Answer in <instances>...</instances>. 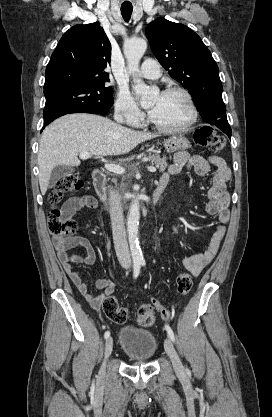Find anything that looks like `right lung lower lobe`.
<instances>
[{
    "label": "right lung lower lobe",
    "mask_w": 272,
    "mask_h": 417,
    "mask_svg": "<svg viewBox=\"0 0 272 417\" xmlns=\"http://www.w3.org/2000/svg\"><path fill=\"white\" fill-rule=\"evenodd\" d=\"M70 113H92V114H102L98 111H94L92 109H73V110H69L66 112H63L57 116H55L54 118H52L51 120H49L48 122H45V126L48 125L49 123H51L53 120H55L56 118L63 116L65 114H70ZM45 126L43 128H45Z\"/></svg>",
    "instance_id": "right-lung-lower-lobe-1"
}]
</instances>
